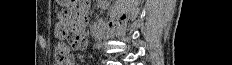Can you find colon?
Masks as SVG:
<instances>
[{
    "mask_svg": "<svg viewBox=\"0 0 232 65\" xmlns=\"http://www.w3.org/2000/svg\"><path fill=\"white\" fill-rule=\"evenodd\" d=\"M70 56L69 45H62V42H58L55 48V60L57 63L64 62Z\"/></svg>",
    "mask_w": 232,
    "mask_h": 65,
    "instance_id": "1",
    "label": "colon"
}]
</instances>
